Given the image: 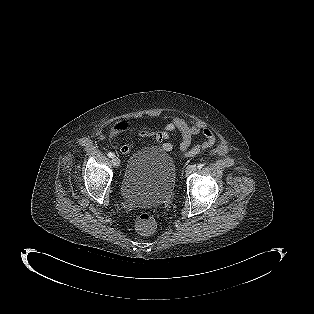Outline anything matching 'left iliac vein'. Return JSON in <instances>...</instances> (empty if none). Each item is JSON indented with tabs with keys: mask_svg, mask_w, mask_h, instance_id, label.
Segmentation results:
<instances>
[{
	"mask_svg": "<svg viewBox=\"0 0 314 314\" xmlns=\"http://www.w3.org/2000/svg\"><path fill=\"white\" fill-rule=\"evenodd\" d=\"M196 171V166L191 164V165H188L187 168H186V174L189 175L193 172Z\"/></svg>",
	"mask_w": 314,
	"mask_h": 314,
	"instance_id": "4c4485c4",
	"label": "left iliac vein"
}]
</instances>
